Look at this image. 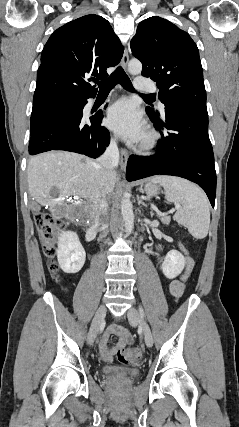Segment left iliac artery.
Here are the masks:
<instances>
[{"instance_id": "1", "label": "left iliac artery", "mask_w": 239, "mask_h": 427, "mask_svg": "<svg viewBox=\"0 0 239 427\" xmlns=\"http://www.w3.org/2000/svg\"><path fill=\"white\" fill-rule=\"evenodd\" d=\"M139 311H140V314H141L142 316H144V311H143L142 307H140V308H139Z\"/></svg>"}]
</instances>
